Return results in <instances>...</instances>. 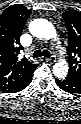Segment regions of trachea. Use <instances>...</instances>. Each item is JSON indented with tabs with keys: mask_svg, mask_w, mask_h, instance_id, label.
<instances>
[{
	"mask_svg": "<svg viewBox=\"0 0 81 124\" xmlns=\"http://www.w3.org/2000/svg\"><path fill=\"white\" fill-rule=\"evenodd\" d=\"M41 56H44V57H47V58H50L51 54L48 50H36L34 53H33V58H39Z\"/></svg>",
	"mask_w": 81,
	"mask_h": 124,
	"instance_id": "3493384b",
	"label": "trachea"
}]
</instances>
